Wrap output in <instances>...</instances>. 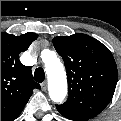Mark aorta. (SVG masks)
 Listing matches in <instances>:
<instances>
[{
  "mask_svg": "<svg viewBox=\"0 0 121 121\" xmlns=\"http://www.w3.org/2000/svg\"><path fill=\"white\" fill-rule=\"evenodd\" d=\"M45 69L48 76V90L52 101L61 103L67 94L66 73L63 64L55 52L48 50L44 56Z\"/></svg>",
  "mask_w": 121,
  "mask_h": 121,
  "instance_id": "obj_1",
  "label": "aorta"
}]
</instances>
